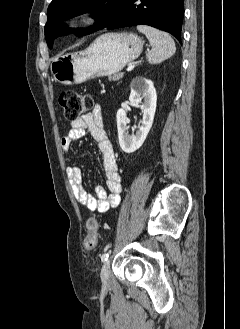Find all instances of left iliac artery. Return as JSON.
Returning a JSON list of instances; mask_svg holds the SVG:
<instances>
[{
  "label": "left iliac artery",
  "instance_id": "44dca946",
  "mask_svg": "<svg viewBox=\"0 0 240 329\" xmlns=\"http://www.w3.org/2000/svg\"><path fill=\"white\" fill-rule=\"evenodd\" d=\"M108 257H109V253H108V252L104 253V254L102 255V257H101V261H102V262L107 261Z\"/></svg>",
  "mask_w": 240,
  "mask_h": 329
}]
</instances>
